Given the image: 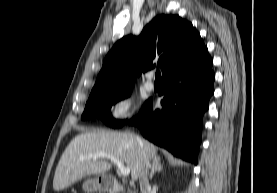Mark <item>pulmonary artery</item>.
Masks as SVG:
<instances>
[{
  "mask_svg": "<svg viewBox=\"0 0 277 193\" xmlns=\"http://www.w3.org/2000/svg\"><path fill=\"white\" fill-rule=\"evenodd\" d=\"M145 88L148 91H152L154 89V82L152 80V75L148 76V79H147V81L145 83Z\"/></svg>",
  "mask_w": 277,
  "mask_h": 193,
  "instance_id": "obj_1",
  "label": "pulmonary artery"
}]
</instances>
